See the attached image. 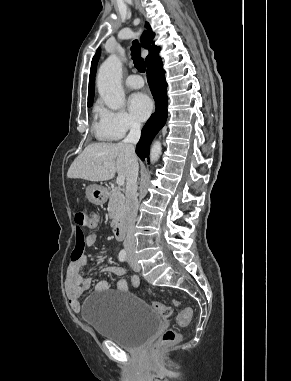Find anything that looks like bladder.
I'll list each match as a JSON object with an SVG mask.
<instances>
[{
	"label": "bladder",
	"mask_w": 291,
	"mask_h": 381,
	"mask_svg": "<svg viewBox=\"0 0 291 381\" xmlns=\"http://www.w3.org/2000/svg\"><path fill=\"white\" fill-rule=\"evenodd\" d=\"M81 317L100 338L129 350L141 348L163 325V318L148 302L126 291L113 297L91 295Z\"/></svg>",
	"instance_id": "31cf9c89"
}]
</instances>
